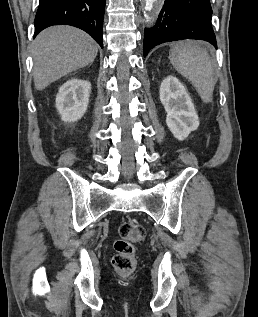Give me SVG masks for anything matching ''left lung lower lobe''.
Wrapping results in <instances>:
<instances>
[{
  "label": "left lung lower lobe",
  "instance_id": "obj_1",
  "mask_svg": "<svg viewBox=\"0 0 258 317\" xmlns=\"http://www.w3.org/2000/svg\"><path fill=\"white\" fill-rule=\"evenodd\" d=\"M209 0H165L156 25L145 29L144 57L155 46L182 39L205 40L217 47Z\"/></svg>",
  "mask_w": 258,
  "mask_h": 317
}]
</instances>
